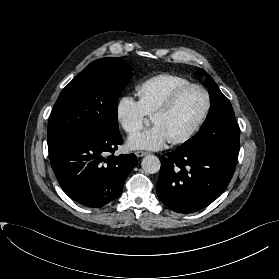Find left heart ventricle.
Returning <instances> with one entry per match:
<instances>
[{"label":"left heart ventricle","mask_w":279,"mask_h":279,"mask_svg":"<svg viewBox=\"0 0 279 279\" xmlns=\"http://www.w3.org/2000/svg\"><path fill=\"white\" fill-rule=\"evenodd\" d=\"M205 104V96L199 89L185 91L166 115L152 119L161 127L169 140L183 136L195 124Z\"/></svg>","instance_id":"obj_1"}]
</instances>
